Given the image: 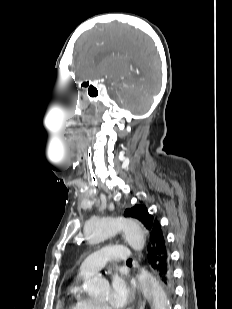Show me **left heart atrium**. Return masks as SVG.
<instances>
[{
  "mask_svg": "<svg viewBox=\"0 0 232 309\" xmlns=\"http://www.w3.org/2000/svg\"><path fill=\"white\" fill-rule=\"evenodd\" d=\"M135 298L134 288L121 275L114 274L110 283V302L115 309H125Z\"/></svg>",
  "mask_w": 232,
  "mask_h": 309,
  "instance_id": "39dd6f15",
  "label": "left heart atrium"
}]
</instances>
